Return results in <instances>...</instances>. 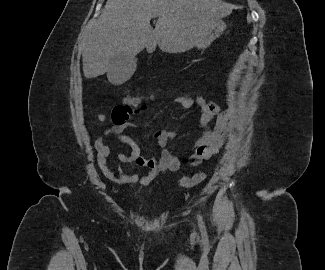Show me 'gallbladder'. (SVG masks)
<instances>
[{
  "mask_svg": "<svg viewBox=\"0 0 325 270\" xmlns=\"http://www.w3.org/2000/svg\"><path fill=\"white\" fill-rule=\"evenodd\" d=\"M113 70L108 74H118L119 76H130L136 69V59L130 58L125 54H120L111 59Z\"/></svg>",
  "mask_w": 325,
  "mask_h": 270,
  "instance_id": "gallbladder-1",
  "label": "gallbladder"
}]
</instances>
